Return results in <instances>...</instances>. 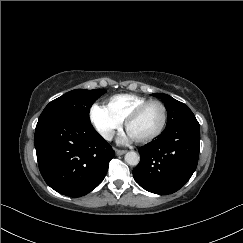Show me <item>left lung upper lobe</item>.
<instances>
[{"instance_id":"1","label":"left lung upper lobe","mask_w":243,"mask_h":243,"mask_svg":"<svg viewBox=\"0 0 243 243\" xmlns=\"http://www.w3.org/2000/svg\"><path fill=\"white\" fill-rule=\"evenodd\" d=\"M152 95L161 98L167 109L168 122L165 129L177 124L187 116L194 115L187 105L169 95L163 93H155Z\"/></svg>"}]
</instances>
